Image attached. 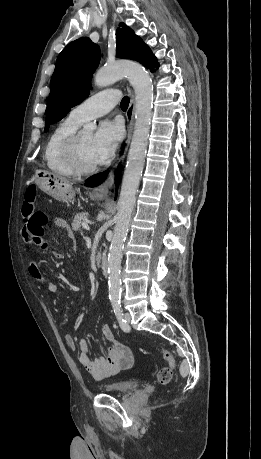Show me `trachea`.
<instances>
[{
  "mask_svg": "<svg viewBox=\"0 0 261 459\" xmlns=\"http://www.w3.org/2000/svg\"><path fill=\"white\" fill-rule=\"evenodd\" d=\"M128 105H129V97L125 96L120 103V107L122 110H126L128 108Z\"/></svg>",
  "mask_w": 261,
  "mask_h": 459,
  "instance_id": "3493384b",
  "label": "trachea"
}]
</instances>
